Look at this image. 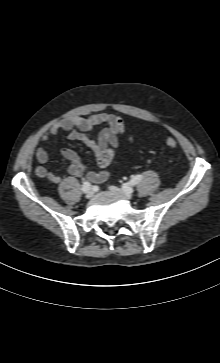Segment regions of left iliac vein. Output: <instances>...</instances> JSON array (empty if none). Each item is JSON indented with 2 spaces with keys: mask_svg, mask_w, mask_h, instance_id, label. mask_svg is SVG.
Returning <instances> with one entry per match:
<instances>
[{
  "mask_svg": "<svg viewBox=\"0 0 220 363\" xmlns=\"http://www.w3.org/2000/svg\"><path fill=\"white\" fill-rule=\"evenodd\" d=\"M111 190L119 193L120 195H122L123 197L127 198V199H132L133 195H132V188H129V190H124V189H119L116 187H111Z\"/></svg>",
  "mask_w": 220,
  "mask_h": 363,
  "instance_id": "obj_1",
  "label": "left iliac vein"
}]
</instances>
